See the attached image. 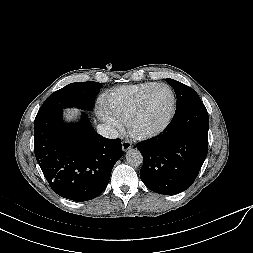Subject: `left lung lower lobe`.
Instances as JSON below:
<instances>
[{
    "mask_svg": "<svg viewBox=\"0 0 253 253\" xmlns=\"http://www.w3.org/2000/svg\"><path fill=\"white\" fill-rule=\"evenodd\" d=\"M208 129V113L201 102L178 110L162 134L138 143L145 186L166 195L188 189L207 156Z\"/></svg>",
    "mask_w": 253,
    "mask_h": 253,
    "instance_id": "1",
    "label": "left lung lower lobe"
}]
</instances>
